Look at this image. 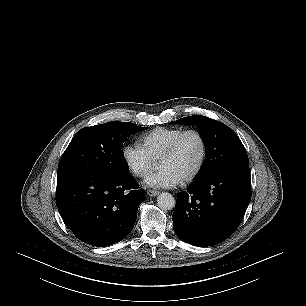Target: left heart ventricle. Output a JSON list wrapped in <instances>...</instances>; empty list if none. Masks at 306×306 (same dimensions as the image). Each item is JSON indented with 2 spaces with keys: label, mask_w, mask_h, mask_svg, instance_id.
<instances>
[{
  "label": "left heart ventricle",
  "mask_w": 306,
  "mask_h": 306,
  "mask_svg": "<svg viewBox=\"0 0 306 306\" xmlns=\"http://www.w3.org/2000/svg\"><path fill=\"white\" fill-rule=\"evenodd\" d=\"M201 143L194 134L186 136L174 156L159 163L160 168H166L183 180L198 165L201 157Z\"/></svg>",
  "instance_id": "1"
}]
</instances>
